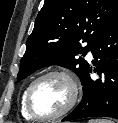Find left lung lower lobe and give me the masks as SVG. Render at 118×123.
Returning <instances> with one entry per match:
<instances>
[{
    "label": "left lung lower lobe",
    "instance_id": "1",
    "mask_svg": "<svg viewBox=\"0 0 118 123\" xmlns=\"http://www.w3.org/2000/svg\"><path fill=\"white\" fill-rule=\"evenodd\" d=\"M91 52L99 79H91L89 67L81 81L82 101L62 121L98 116L118 119V18L99 36Z\"/></svg>",
    "mask_w": 118,
    "mask_h": 123
}]
</instances>
